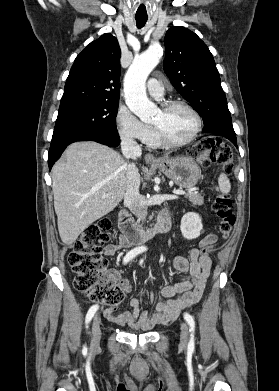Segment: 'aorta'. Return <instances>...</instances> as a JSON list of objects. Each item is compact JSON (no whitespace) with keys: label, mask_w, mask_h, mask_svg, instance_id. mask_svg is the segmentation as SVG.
<instances>
[{"label":"aorta","mask_w":279,"mask_h":391,"mask_svg":"<svg viewBox=\"0 0 279 391\" xmlns=\"http://www.w3.org/2000/svg\"><path fill=\"white\" fill-rule=\"evenodd\" d=\"M162 54L163 49L159 44L151 45L134 58L124 78L125 102L142 121L149 120L156 113V105L147 98L145 83Z\"/></svg>","instance_id":"obj_1"}]
</instances>
